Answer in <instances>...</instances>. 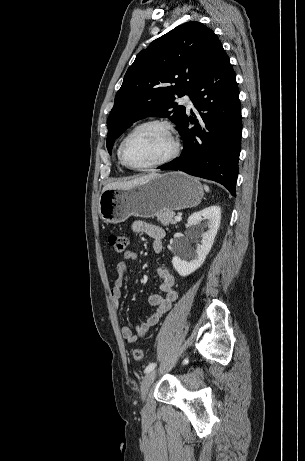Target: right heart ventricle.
Segmentation results:
<instances>
[{"instance_id":"right-heart-ventricle-1","label":"right heart ventricle","mask_w":305,"mask_h":461,"mask_svg":"<svg viewBox=\"0 0 305 461\" xmlns=\"http://www.w3.org/2000/svg\"><path fill=\"white\" fill-rule=\"evenodd\" d=\"M120 145H121V143L119 144V146H118V148H117V157H118L119 162H120L123 166H125V164L123 163V161H122V159H121V155H120Z\"/></svg>"}]
</instances>
